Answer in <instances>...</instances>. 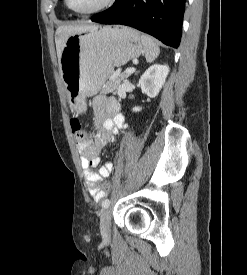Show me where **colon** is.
I'll return each instance as SVG.
<instances>
[{
	"instance_id": "obj_1",
	"label": "colon",
	"mask_w": 247,
	"mask_h": 275,
	"mask_svg": "<svg viewBox=\"0 0 247 275\" xmlns=\"http://www.w3.org/2000/svg\"><path fill=\"white\" fill-rule=\"evenodd\" d=\"M71 129L72 134L77 142H82L85 138V131L82 127V124L78 118L71 119ZM112 189V184L110 181L104 182L102 185V190L104 193H109Z\"/></svg>"
}]
</instances>
